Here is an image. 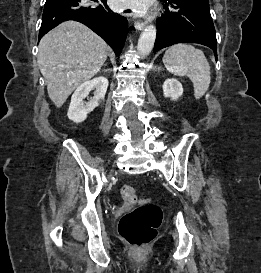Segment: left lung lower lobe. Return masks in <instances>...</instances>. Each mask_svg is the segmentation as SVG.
<instances>
[{"label": "left lung lower lobe", "instance_id": "1", "mask_svg": "<svg viewBox=\"0 0 261 273\" xmlns=\"http://www.w3.org/2000/svg\"><path fill=\"white\" fill-rule=\"evenodd\" d=\"M164 1L166 11L157 20L154 52L176 43H199L211 48L217 59V40L208 0Z\"/></svg>", "mask_w": 261, "mask_h": 273}]
</instances>
